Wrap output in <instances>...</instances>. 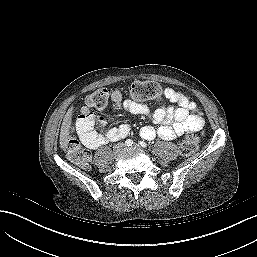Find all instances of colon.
Segmentation results:
<instances>
[{
  "label": "colon",
  "instance_id": "1",
  "mask_svg": "<svg viewBox=\"0 0 257 257\" xmlns=\"http://www.w3.org/2000/svg\"><path fill=\"white\" fill-rule=\"evenodd\" d=\"M129 93L135 100H154L161 93V86L154 81H136L129 86ZM108 90L99 88L91 93L86 99L87 109L103 111L108 105ZM199 148V138L196 135L187 137L180 145V153L183 156L194 154ZM66 152L68 159L76 165L87 166L90 162L89 152L73 137L67 140Z\"/></svg>",
  "mask_w": 257,
  "mask_h": 257
}]
</instances>
